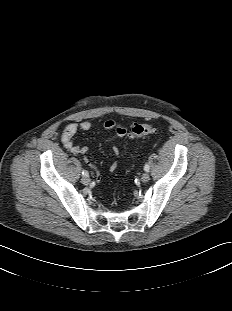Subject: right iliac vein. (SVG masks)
Here are the masks:
<instances>
[{
  "instance_id": "1",
  "label": "right iliac vein",
  "mask_w": 232,
  "mask_h": 311,
  "mask_svg": "<svg viewBox=\"0 0 232 311\" xmlns=\"http://www.w3.org/2000/svg\"><path fill=\"white\" fill-rule=\"evenodd\" d=\"M81 182L85 185H88L90 183V178L88 176H83Z\"/></svg>"
}]
</instances>
